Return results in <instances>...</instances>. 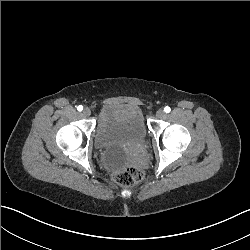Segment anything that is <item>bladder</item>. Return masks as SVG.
Listing matches in <instances>:
<instances>
[{
    "mask_svg": "<svg viewBox=\"0 0 250 250\" xmlns=\"http://www.w3.org/2000/svg\"><path fill=\"white\" fill-rule=\"evenodd\" d=\"M92 139L98 150L136 139H147L142 110L135 105L109 102L100 109V117Z\"/></svg>",
    "mask_w": 250,
    "mask_h": 250,
    "instance_id": "obj_1",
    "label": "bladder"
}]
</instances>
